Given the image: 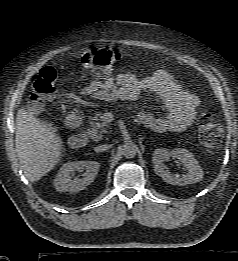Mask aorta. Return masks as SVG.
<instances>
[{"label": "aorta", "mask_w": 238, "mask_h": 261, "mask_svg": "<svg viewBox=\"0 0 238 261\" xmlns=\"http://www.w3.org/2000/svg\"><path fill=\"white\" fill-rule=\"evenodd\" d=\"M137 146L132 142H127L123 145L122 153L125 158L131 159L134 158L137 154Z\"/></svg>", "instance_id": "1"}]
</instances>
